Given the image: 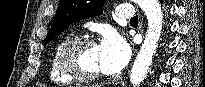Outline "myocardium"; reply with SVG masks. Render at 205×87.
I'll use <instances>...</instances> for the list:
<instances>
[{
    "label": "myocardium",
    "mask_w": 205,
    "mask_h": 87,
    "mask_svg": "<svg viewBox=\"0 0 205 87\" xmlns=\"http://www.w3.org/2000/svg\"><path fill=\"white\" fill-rule=\"evenodd\" d=\"M87 46H97V44L90 38L74 39L61 49L58 56L60 70L69 78L84 83L94 82L102 76L100 72L93 75L83 74L75 64L74 57L76 53Z\"/></svg>",
    "instance_id": "1"
}]
</instances>
